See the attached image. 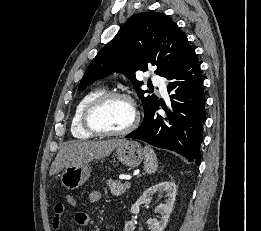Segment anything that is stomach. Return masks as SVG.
Instances as JSON below:
<instances>
[{
  "label": "stomach",
  "mask_w": 261,
  "mask_h": 231,
  "mask_svg": "<svg viewBox=\"0 0 261 231\" xmlns=\"http://www.w3.org/2000/svg\"><path fill=\"white\" fill-rule=\"evenodd\" d=\"M116 155L121 163L130 168L139 166L145 157L141 145L136 141L128 140H125L116 147ZM90 173L91 167L88 163L80 166H69L62 172L60 179L63 186L74 190L88 180Z\"/></svg>",
  "instance_id": "obj_1"
}]
</instances>
